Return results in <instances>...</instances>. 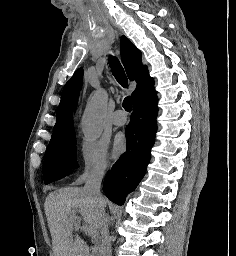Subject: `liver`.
Here are the masks:
<instances>
[{
  "label": "liver",
  "instance_id": "obj_1",
  "mask_svg": "<svg viewBox=\"0 0 236 256\" xmlns=\"http://www.w3.org/2000/svg\"><path fill=\"white\" fill-rule=\"evenodd\" d=\"M106 202L103 206L105 208ZM44 210L52 238L54 256H87L89 248L79 234V222L73 220L80 212L84 222L95 232L100 230L105 212H99L96 202L90 200L82 188H62L50 192L44 202ZM75 226V228H73Z\"/></svg>",
  "mask_w": 236,
  "mask_h": 256
}]
</instances>
